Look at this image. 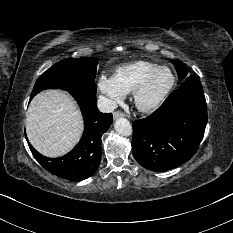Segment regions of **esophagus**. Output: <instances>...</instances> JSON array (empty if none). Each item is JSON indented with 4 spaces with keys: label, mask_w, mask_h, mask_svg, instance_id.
Masks as SVG:
<instances>
[{
    "label": "esophagus",
    "mask_w": 233,
    "mask_h": 233,
    "mask_svg": "<svg viewBox=\"0 0 233 233\" xmlns=\"http://www.w3.org/2000/svg\"><path fill=\"white\" fill-rule=\"evenodd\" d=\"M120 117H124V113L123 112H121V111H115L113 113V118L114 119H117V118H120Z\"/></svg>",
    "instance_id": "esophagus-1"
}]
</instances>
